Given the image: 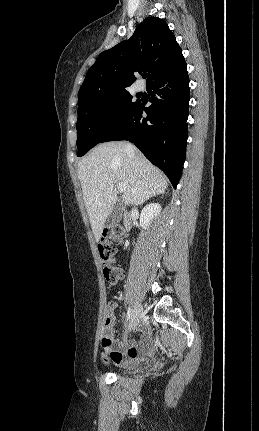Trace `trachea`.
Returning <instances> with one entry per match:
<instances>
[{"label": "trachea", "instance_id": "trachea-1", "mask_svg": "<svg viewBox=\"0 0 259 431\" xmlns=\"http://www.w3.org/2000/svg\"><path fill=\"white\" fill-rule=\"evenodd\" d=\"M142 76H143V78H146V77H147V75H146V74H143Z\"/></svg>", "mask_w": 259, "mask_h": 431}]
</instances>
